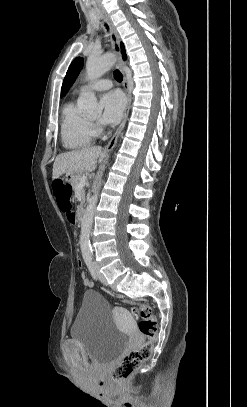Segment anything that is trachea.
Wrapping results in <instances>:
<instances>
[{"label": "trachea", "mask_w": 247, "mask_h": 407, "mask_svg": "<svg viewBox=\"0 0 247 407\" xmlns=\"http://www.w3.org/2000/svg\"><path fill=\"white\" fill-rule=\"evenodd\" d=\"M106 27H107V29H108V26L106 25ZM113 74H114V78L118 81V82H121L122 80H123V75H122V73L119 71V70H115L114 72H113Z\"/></svg>", "instance_id": "obj_1"}]
</instances>
